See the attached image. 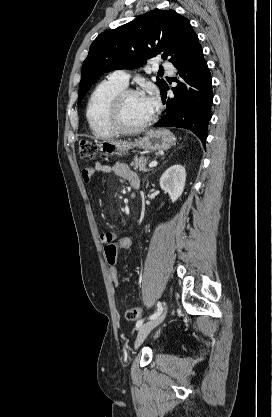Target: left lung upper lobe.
Masks as SVG:
<instances>
[{
  "label": "left lung upper lobe",
  "mask_w": 272,
  "mask_h": 417,
  "mask_svg": "<svg viewBox=\"0 0 272 417\" xmlns=\"http://www.w3.org/2000/svg\"><path fill=\"white\" fill-rule=\"evenodd\" d=\"M201 45L189 21L173 10H153L101 33L82 66L78 104L97 78L115 69H134L158 54L174 65ZM162 90L163 79L156 82Z\"/></svg>",
  "instance_id": "1"
}]
</instances>
